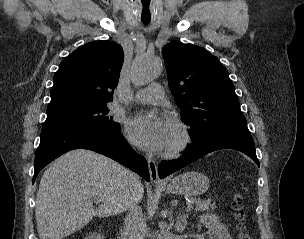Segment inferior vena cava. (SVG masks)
I'll use <instances>...</instances> for the list:
<instances>
[{
	"label": "inferior vena cava",
	"mask_w": 304,
	"mask_h": 239,
	"mask_svg": "<svg viewBox=\"0 0 304 239\" xmlns=\"http://www.w3.org/2000/svg\"><path fill=\"white\" fill-rule=\"evenodd\" d=\"M141 183L137 174L127 171L126 174V198L123 201L127 216L125 218V230L129 239H143L144 219L136 189Z\"/></svg>",
	"instance_id": "obj_1"
}]
</instances>
